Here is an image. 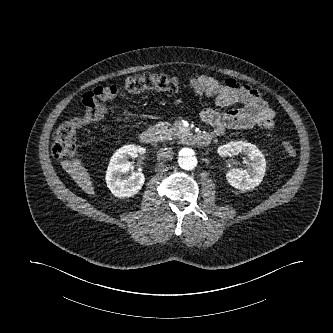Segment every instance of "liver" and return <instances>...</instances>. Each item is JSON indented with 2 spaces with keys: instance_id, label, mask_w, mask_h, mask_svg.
Listing matches in <instances>:
<instances>
[{
  "instance_id": "1",
  "label": "liver",
  "mask_w": 333,
  "mask_h": 333,
  "mask_svg": "<svg viewBox=\"0 0 333 333\" xmlns=\"http://www.w3.org/2000/svg\"><path fill=\"white\" fill-rule=\"evenodd\" d=\"M61 165L72 176L73 180L78 184L79 187L82 188L85 193L90 195L95 194L90 176L85 167L80 165L79 160L73 162L64 160L61 162Z\"/></svg>"
}]
</instances>
